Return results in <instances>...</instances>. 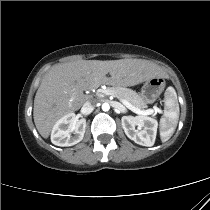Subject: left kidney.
I'll use <instances>...</instances> for the list:
<instances>
[{
  "label": "left kidney",
  "mask_w": 210,
  "mask_h": 210,
  "mask_svg": "<svg viewBox=\"0 0 210 210\" xmlns=\"http://www.w3.org/2000/svg\"><path fill=\"white\" fill-rule=\"evenodd\" d=\"M121 123L129 139L142 146L154 145L158 127L156 119L145 115L123 116Z\"/></svg>",
  "instance_id": "5707ae66"
}]
</instances>
